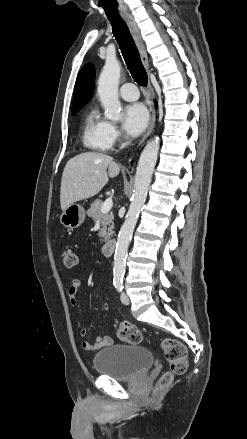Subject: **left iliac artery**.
<instances>
[{
	"label": "left iliac artery",
	"mask_w": 247,
	"mask_h": 439,
	"mask_svg": "<svg viewBox=\"0 0 247 439\" xmlns=\"http://www.w3.org/2000/svg\"><path fill=\"white\" fill-rule=\"evenodd\" d=\"M115 287H116L117 291H119V292H121L123 289L122 284H117Z\"/></svg>",
	"instance_id": "1"
}]
</instances>
